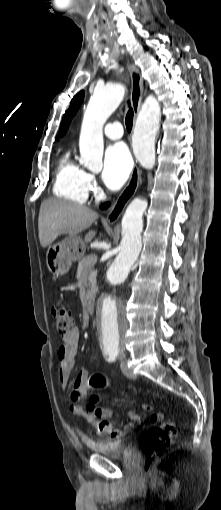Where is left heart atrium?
Listing matches in <instances>:
<instances>
[{
    "mask_svg": "<svg viewBox=\"0 0 221 510\" xmlns=\"http://www.w3.org/2000/svg\"><path fill=\"white\" fill-rule=\"evenodd\" d=\"M132 158L124 144L109 146L104 155L102 179L111 190L119 189L129 177Z\"/></svg>",
    "mask_w": 221,
    "mask_h": 510,
    "instance_id": "obj_1",
    "label": "left heart atrium"
}]
</instances>
